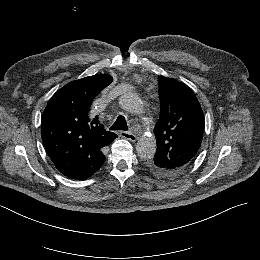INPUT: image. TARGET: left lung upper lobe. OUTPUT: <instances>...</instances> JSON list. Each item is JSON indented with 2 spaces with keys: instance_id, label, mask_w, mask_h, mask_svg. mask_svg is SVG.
I'll list each match as a JSON object with an SVG mask.
<instances>
[{
  "instance_id": "5c2ea615",
  "label": "left lung upper lobe",
  "mask_w": 260,
  "mask_h": 260,
  "mask_svg": "<svg viewBox=\"0 0 260 260\" xmlns=\"http://www.w3.org/2000/svg\"><path fill=\"white\" fill-rule=\"evenodd\" d=\"M161 114L154 133L157 149L148 168L161 176L182 173L196 158L204 116L193 91L174 79L159 77Z\"/></svg>"
}]
</instances>
